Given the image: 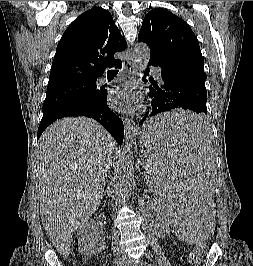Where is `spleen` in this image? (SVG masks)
<instances>
[{
	"label": "spleen",
	"instance_id": "obj_1",
	"mask_svg": "<svg viewBox=\"0 0 253 266\" xmlns=\"http://www.w3.org/2000/svg\"><path fill=\"white\" fill-rule=\"evenodd\" d=\"M206 115L201 111H163L150 117L147 132H154L141 161L140 174L177 229L182 248H206L210 235L217 234L211 185L215 179Z\"/></svg>",
	"mask_w": 253,
	"mask_h": 266
}]
</instances>
